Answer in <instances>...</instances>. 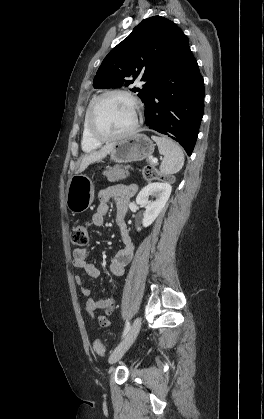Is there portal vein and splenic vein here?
Masks as SVG:
<instances>
[{
	"instance_id": "18ae733b",
	"label": "portal vein and splenic vein",
	"mask_w": 264,
	"mask_h": 419,
	"mask_svg": "<svg viewBox=\"0 0 264 419\" xmlns=\"http://www.w3.org/2000/svg\"><path fill=\"white\" fill-rule=\"evenodd\" d=\"M151 161H152L153 163H157V162H158V159H157V158H152V159H151Z\"/></svg>"
}]
</instances>
